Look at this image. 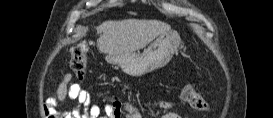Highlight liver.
Wrapping results in <instances>:
<instances>
[{
  "label": "liver",
  "instance_id": "6515ba94",
  "mask_svg": "<svg viewBox=\"0 0 273 118\" xmlns=\"http://www.w3.org/2000/svg\"><path fill=\"white\" fill-rule=\"evenodd\" d=\"M170 29V25L158 20H109L97 27V31L101 33L97 44L100 52L108 55L129 54L146 47L157 36ZM70 78L71 75H66L58 87L60 100L67 94V82Z\"/></svg>",
  "mask_w": 273,
  "mask_h": 118
}]
</instances>
